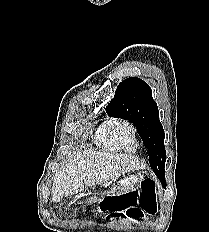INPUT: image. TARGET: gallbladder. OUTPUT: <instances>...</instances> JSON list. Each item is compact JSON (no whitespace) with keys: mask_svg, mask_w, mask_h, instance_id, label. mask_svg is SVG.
Masks as SVG:
<instances>
[{"mask_svg":"<svg viewBox=\"0 0 209 232\" xmlns=\"http://www.w3.org/2000/svg\"><path fill=\"white\" fill-rule=\"evenodd\" d=\"M53 202L55 203L60 202V198H53Z\"/></svg>","mask_w":209,"mask_h":232,"instance_id":"gallbladder-1","label":"gallbladder"}]
</instances>
